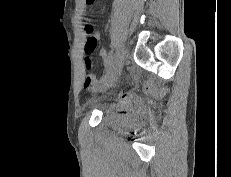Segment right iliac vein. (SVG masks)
Segmentation results:
<instances>
[{"mask_svg": "<svg viewBox=\"0 0 231 177\" xmlns=\"http://www.w3.org/2000/svg\"><path fill=\"white\" fill-rule=\"evenodd\" d=\"M123 57L124 49L120 48L115 56L112 66L103 79V84L101 85L100 89H107L117 80L123 66Z\"/></svg>", "mask_w": 231, "mask_h": 177, "instance_id": "63e3f726", "label": "right iliac vein"}]
</instances>
